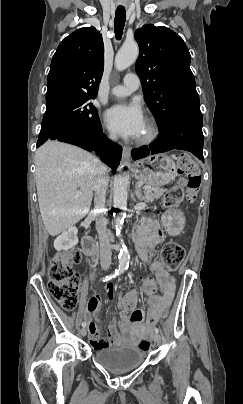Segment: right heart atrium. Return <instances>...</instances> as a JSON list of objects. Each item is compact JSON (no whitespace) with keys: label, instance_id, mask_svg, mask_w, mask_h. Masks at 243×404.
I'll return each mask as SVG.
<instances>
[{"label":"right heart atrium","instance_id":"obj_1","mask_svg":"<svg viewBox=\"0 0 243 404\" xmlns=\"http://www.w3.org/2000/svg\"><path fill=\"white\" fill-rule=\"evenodd\" d=\"M108 139L110 141H116V137L114 135H112V134L108 135Z\"/></svg>","mask_w":243,"mask_h":404}]
</instances>
